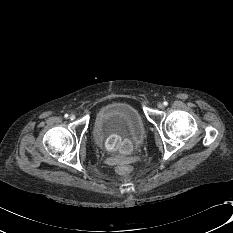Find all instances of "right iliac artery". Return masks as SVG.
Masks as SVG:
<instances>
[{
  "mask_svg": "<svg viewBox=\"0 0 233 233\" xmlns=\"http://www.w3.org/2000/svg\"><path fill=\"white\" fill-rule=\"evenodd\" d=\"M64 117H65V118H68V114H65Z\"/></svg>",
  "mask_w": 233,
  "mask_h": 233,
  "instance_id": "obj_1",
  "label": "right iliac artery"
}]
</instances>
